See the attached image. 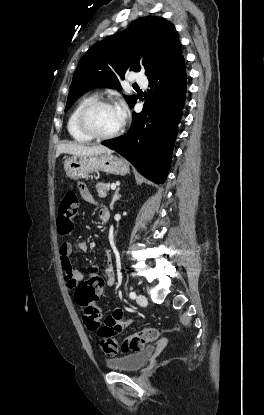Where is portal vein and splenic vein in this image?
Instances as JSON below:
<instances>
[{
	"mask_svg": "<svg viewBox=\"0 0 264 415\" xmlns=\"http://www.w3.org/2000/svg\"><path fill=\"white\" fill-rule=\"evenodd\" d=\"M110 187H111L112 190H114L116 188V185L115 184H111Z\"/></svg>",
	"mask_w": 264,
	"mask_h": 415,
	"instance_id": "18ae733b",
	"label": "portal vein and splenic vein"
}]
</instances>
